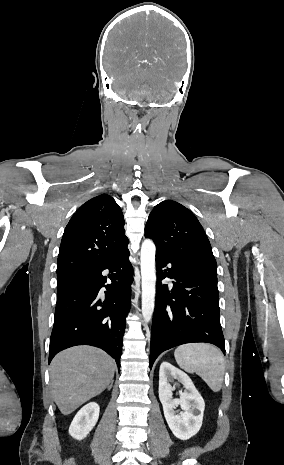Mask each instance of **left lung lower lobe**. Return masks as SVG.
<instances>
[{
  "label": "left lung lower lobe",
  "mask_w": 284,
  "mask_h": 465,
  "mask_svg": "<svg viewBox=\"0 0 284 465\" xmlns=\"http://www.w3.org/2000/svg\"><path fill=\"white\" fill-rule=\"evenodd\" d=\"M156 263L149 367L152 368L163 351L185 343H211L225 354L217 275L159 251H156ZM164 278L174 280L171 290L162 284Z\"/></svg>",
  "instance_id": "0a47b994"
}]
</instances>
